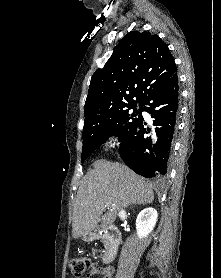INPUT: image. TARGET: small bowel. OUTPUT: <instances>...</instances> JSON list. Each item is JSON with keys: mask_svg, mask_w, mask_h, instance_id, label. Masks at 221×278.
<instances>
[{"mask_svg": "<svg viewBox=\"0 0 221 278\" xmlns=\"http://www.w3.org/2000/svg\"><path fill=\"white\" fill-rule=\"evenodd\" d=\"M99 275L102 276V278H111L113 269L110 267H93L86 278H93Z\"/></svg>", "mask_w": 221, "mask_h": 278, "instance_id": "obj_1", "label": "small bowel"}]
</instances>
